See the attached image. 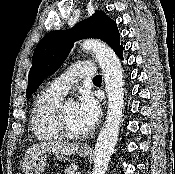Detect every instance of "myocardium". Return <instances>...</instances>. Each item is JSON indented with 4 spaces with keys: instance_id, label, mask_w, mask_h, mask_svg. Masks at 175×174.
Masks as SVG:
<instances>
[{
    "instance_id": "1",
    "label": "myocardium",
    "mask_w": 175,
    "mask_h": 174,
    "mask_svg": "<svg viewBox=\"0 0 175 174\" xmlns=\"http://www.w3.org/2000/svg\"><path fill=\"white\" fill-rule=\"evenodd\" d=\"M65 103H60L56 111L55 119H56V125L59 132L64 138H67V139H81L86 137L90 132L89 130L85 132L77 133L69 129L65 119V112H64Z\"/></svg>"
}]
</instances>
